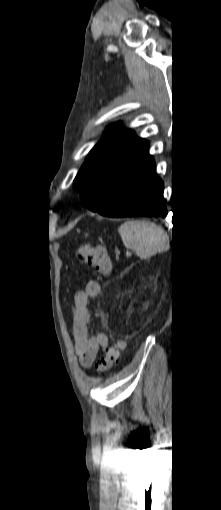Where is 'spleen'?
<instances>
[{"mask_svg":"<svg viewBox=\"0 0 221 510\" xmlns=\"http://www.w3.org/2000/svg\"><path fill=\"white\" fill-rule=\"evenodd\" d=\"M123 244L134 250L141 259L166 251L169 245L165 231L154 223L131 220L120 225Z\"/></svg>","mask_w":221,"mask_h":510,"instance_id":"3e777b00","label":"spleen"}]
</instances>
